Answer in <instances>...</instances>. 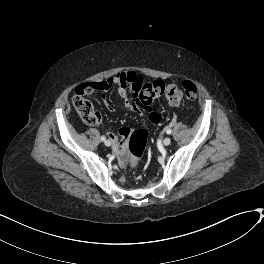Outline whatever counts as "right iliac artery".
<instances>
[{
    "label": "right iliac artery",
    "mask_w": 264,
    "mask_h": 264,
    "mask_svg": "<svg viewBox=\"0 0 264 264\" xmlns=\"http://www.w3.org/2000/svg\"><path fill=\"white\" fill-rule=\"evenodd\" d=\"M105 139H106L105 136H102V137H101V140H102V141H105Z\"/></svg>",
    "instance_id": "82829eb1"
}]
</instances>
